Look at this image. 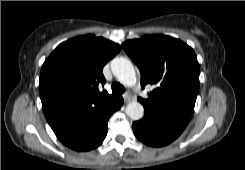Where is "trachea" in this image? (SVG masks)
I'll list each match as a JSON object with an SVG mask.
<instances>
[{
    "mask_svg": "<svg viewBox=\"0 0 245 170\" xmlns=\"http://www.w3.org/2000/svg\"><path fill=\"white\" fill-rule=\"evenodd\" d=\"M112 92L115 94H122L125 91V88L123 87V85H121L118 82H114L112 83Z\"/></svg>",
    "mask_w": 245,
    "mask_h": 170,
    "instance_id": "3493384b",
    "label": "trachea"
}]
</instances>
